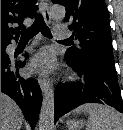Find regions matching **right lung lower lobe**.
Here are the masks:
<instances>
[{"label": "right lung lower lobe", "instance_id": "right-lung-lower-lobe-1", "mask_svg": "<svg viewBox=\"0 0 123 130\" xmlns=\"http://www.w3.org/2000/svg\"><path fill=\"white\" fill-rule=\"evenodd\" d=\"M25 57L28 58L27 53ZM24 65L25 62L14 61L5 50L1 51V92L10 96L19 105L25 118L34 128L38 121L42 92L35 79H24L19 75L18 68Z\"/></svg>", "mask_w": 123, "mask_h": 130}]
</instances>
